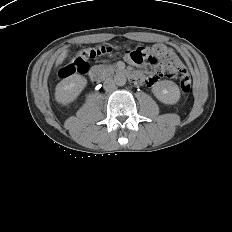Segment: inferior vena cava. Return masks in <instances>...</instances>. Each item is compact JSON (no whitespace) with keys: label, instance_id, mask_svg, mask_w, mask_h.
<instances>
[{"label":"inferior vena cava","instance_id":"inferior-vena-cava-1","mask_svg":"<svg viewBox=\"0 0 232 232\" xmlns=\"http://www.w3.org/2000/svg\"><path fill=\"white\" fill-rule=\"evenodd\" d=\"M115 81L112 78H107L104 82V89L106 91H113L115 90Z\"/></svg>","mask_w":232,"mask_h":232}]
</instances>
